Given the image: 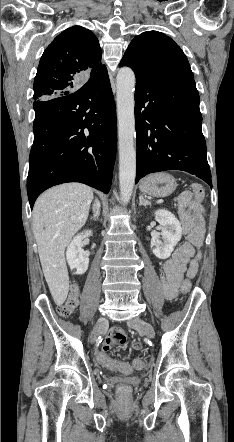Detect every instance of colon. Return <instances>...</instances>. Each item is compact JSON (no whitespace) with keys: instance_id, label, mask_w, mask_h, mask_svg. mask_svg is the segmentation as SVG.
I'll return each instance as SVG.
<instances>
[{"instance_id":"colon-1","label":"colon","mask_w":234,"mask_h":442,"mask_svg":"<svg viewBox=\"0 0 234 442\" xmlns=\"http://www.w3.org/2000/svg\"><path fill=\"white\" fill-rule=\"evenodd\" d=\"M192 192L197 201H202L205 197V191L201 184L193 183L191 185ZM197 259H200V256H197ZM191 289V284L189 281L185 280L181 286V290L183 293H188ZM79 286L77 283H74L70 287L69 295L66 301L61 304L57 311L58 314L62 317L71 316L78 306L79 301ZM95 360H97L101 365L105 366L108 369L130 373L133 370V367L129 360H115L109 357V351L106 349L96 350L94 355ZM132 363L135 368L141 369L144 367V361L139 357H133ZM122 390H126V388H122Z\"/></svg>"}]
</instances>
